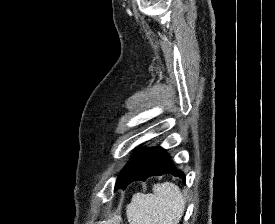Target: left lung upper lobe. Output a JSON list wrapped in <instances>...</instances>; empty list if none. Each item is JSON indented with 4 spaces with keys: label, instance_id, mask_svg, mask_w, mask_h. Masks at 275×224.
I'll use <instances>...</instances> for the list:
<instances>
[{
    "label": "left lung upper lobe",
    "instance_id": "5c2ea615",
    "mask_svg": "<svg viewBox=\"0 0 275 224\" xmlns=\"http://www.w3.org/2000/svg\"><path fill=\"white\" fill-rule=\"evenodd\" d=\"M136 156H137V155H136ZM136 156H134V157L131 158V160L128 162V164H127V165L124 167V169L121 171V173H120L118 179H119L120 177H122V176L127 172V170L129 169L130 165L132 164V162L134 161V159L136 158Z\"/></svg>",
    "mask_w": 275,
    "mask_h": 224
}]
</instances>
